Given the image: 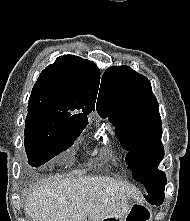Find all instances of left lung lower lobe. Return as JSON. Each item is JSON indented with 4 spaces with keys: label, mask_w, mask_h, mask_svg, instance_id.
<instances>
[{
    "label": "left lung lower lobe",
    "mask_w": 190,
    "mask_h": 221,
    "mask_svg": "<svg viewBox=\"0 0 190 221\" xmlns=\"http://www.w3.org/2000/svg\"><path fill=\"white\" fill-rule=\"evenodd\" d=\"M164 200V190H159L152 198L147 199L153 205H161Z\"/></svg>",
    "instance_id": "left-lung-lower-lobe-1"
}]
</instances>
